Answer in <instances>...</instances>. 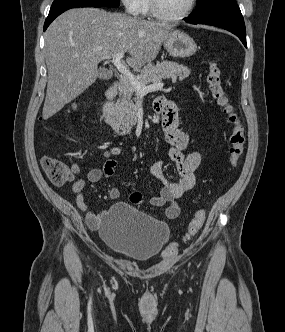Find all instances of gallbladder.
<instances>
[{"label":"gallbladder","mask_w":285,"mask_h":332,"mask_svg":"<svg viewBox=\"0 0 285 332\" xmlns=\"http://www.w3.org/2000/svg\"><path fill=\"white\" fill-rule=\"evenodd\" d=\"M111 76H112L111 72L108 71L107 69H105V68L99 69V75H98L99 79L108 80L111 78Z\"/></svg>","instance_id":"gallbladder-1"}]
</instances>
